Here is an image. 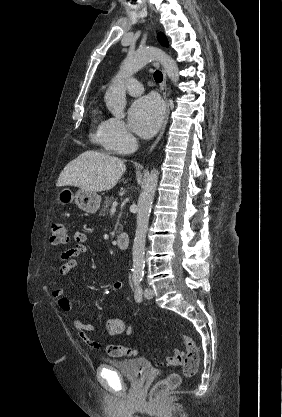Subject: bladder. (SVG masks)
<instances>
[{"mask_svg": "<svg viewBox=\"0 0 282 417\" xmlns=\"http://www.w3.org/2000/svg\"><path fill=\"white\" fill-rule=\"evenodd\" d=\"M105 363L120 372L134 385L142 384L151 371V362L143 357L125 360L107 359Z\"/></svg>", "mask_w": 282, "mask_h": 417, "instance_id": "bladder-1", "label": "bladder"}]
</instances>
